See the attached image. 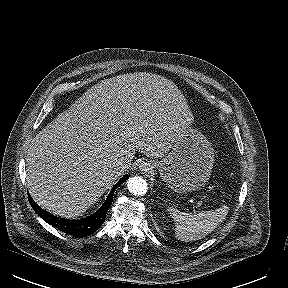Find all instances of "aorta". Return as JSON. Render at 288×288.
<instances>
[{"label":"aorta","mask_w":288,"mask_h":288,"mask_svg":"<svg viewBox=\"0 0 288 288\" xmlns=\"http://www.w3.org/2000/svg\"><path fill=\"white\" fill-rule=\"evenodd\" d=\"M127 188L133 195L143 196L148 190V185L146 180L142 177L134 176L128 179Z\"/></svg>","instance_id":"obj_1"}]
</instances>
